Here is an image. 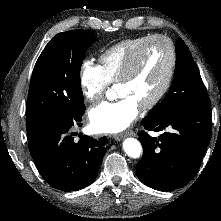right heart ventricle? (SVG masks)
Listing matches in <instances>:
<instances>
[{"instance_id": "obj_1", "label": "right heart ventricle", "mask_w": 221, "mask_h": 221, "mask_svg": "<svg viewBox=\"0 0 221 221\" xmlns=\"http://www.w3.org/2000/svg\"><path fill=\"white\" fill-rule=\"evenodd\" d=\"M149 37L141 36L119 41L106 48L100 54V66L110 83L117 82L129 58Z\"/></svg>"}]
</instances>
